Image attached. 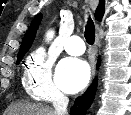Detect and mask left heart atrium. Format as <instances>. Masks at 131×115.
<instances>
[{
	"instance_id": "left-heart-atrium-1",
	"label": "left heart atrium",
	"mask_w": 131,
	"mask_h": 115,
	"mask_svg": "<svg viewBox=\"0 0 131 115\" xmlns=\"http://www.w3.org/2000/svg\"><path fill=\"white\" fill-rule=\"evenodd\" d=\"M90 78L88 63L78 58L63 59L56 71V82L67 93H76L83 89Z\"/></svg>"
}]
</instances>
